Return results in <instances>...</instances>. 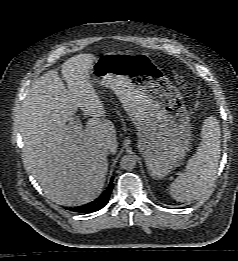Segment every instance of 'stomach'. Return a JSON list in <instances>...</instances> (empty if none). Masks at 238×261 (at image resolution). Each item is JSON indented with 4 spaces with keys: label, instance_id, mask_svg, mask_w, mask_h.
<instances>
[{
    "label": "stomach",
    "instance_id": "stomach-1",
    "mask_svg": "<svg viewBox=\"0 0 238 261\" xmlns=\"http://www.w3.org/2000/svg\"><path fill=\"white\" fill-rule=\"evenodd\" d=\"M93 82L110 88L138 131V149L149 174L162 179L191 144L188 113L178 89L143 55L108 53L95 60Z\"/></svg>",
    "mask_w": 238,
    "mask_h": 261
}]
</instances>
